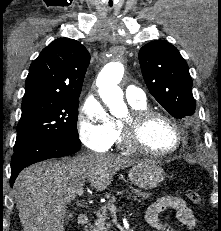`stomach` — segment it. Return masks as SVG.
I'll return each mask as SVG.
<instances>
[{
	"mask_svg": "<svg viewBox=\"0 0 221 231\" xmlns=\"http://www.w3.org/2000/svg\"><path fill=\"white\" fill-rule=\"evenodd\" d=\"M129 178L142 189H153L163 182L165 173L155 161L141 160L129 170Z\"/></svg>",
	"mask_w": 221,
	"mask_h": 231,
	"instance_id": "1",
	"label": "stomach"
}]
</instances>
